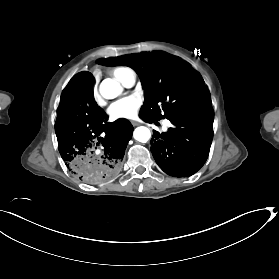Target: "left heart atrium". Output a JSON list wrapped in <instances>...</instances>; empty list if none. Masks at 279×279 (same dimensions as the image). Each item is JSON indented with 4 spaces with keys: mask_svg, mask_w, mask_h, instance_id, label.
Here are the masks:
<instances>
[{
    "mask_svg": "<svg viewBox=\"0 0 279 279\" xmlns=\"http://www.w3.org/2000/svg\"><path fill=\"white\" fill-rule=\"evenodd\" d=\"M142 104L139 97L130 95L114 102L108 108V115L112 120L133 119Z\"/></svg>",
    "mask_w": 279,
    "mask_h": 279,
    "instance_id": "39dd6f15",
    "label": "left heart atrium"
}]
</instances>
